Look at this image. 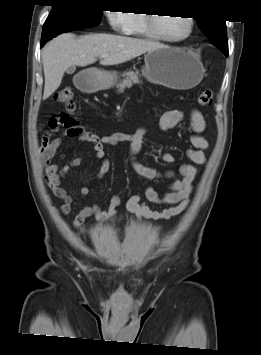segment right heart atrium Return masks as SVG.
I'll use <instances>...</instances> for the list:
<instances>
[{
	"mask_svg": "<svg viewBox=\"0 0 261 355\" xmlns=\"http://www.w3.org/2000/svg\"><path fill=\"white\" fill-rule=\"evenodd\" d=\"M107 18L114 31L127 34L131 25L130 12L126 10H109L107 12Z\"/></svg>",
	"mask_w": 261,
	"mask_h": 355,
	"instance_id": "right-heart-atrium-1",
	"label": "right heart atrium"
}]
</instances>
